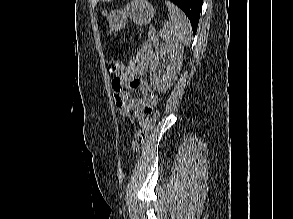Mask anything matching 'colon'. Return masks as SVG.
<instances>
[{"instance_id": "obj_1", "label": "colon", "mask_w": 293, "mask_h": 219, "mask_svg": "<svg viewBox=\"0 0 293 219\" xmlns=\"http://www.w3.org/2000/svg\"><path fill=\"white\" fill-rule=\"evenodd\" d=\"M108 68H109L110 74L114 77L113 79L114 87L116 89H120L121 87L120 75L122 73L121 64L114 59H110L108 61ZM149 113L152 115L149 123L144 128L136 132V134L133 137L132 148L134 151H138L142 148L147 135L149 134V132L151 131V129L153 128L157 120V115H158L157 111H154V109L149 108Z\"/></svg>"}]
</instances>
